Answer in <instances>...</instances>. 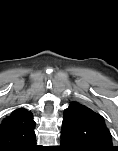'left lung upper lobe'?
I'll list each match as a JSON object with an SVG mask.
<instances>
[{"label":"left lung upper lobe","mask_w":118,"mask_h":151,"mask_svg":"<svg viewBox=\"0 0 118 151\" xmlns=\"http://www.w3.org/2000/svg\"><path fill=\"white\" fill-rule=\"evenodd\" d=\"M61 133L75 140L84 151H112V139L103 117L78 102L64 111Z\"/></svg>","instance_id":"obj_1"}]
</instances>
